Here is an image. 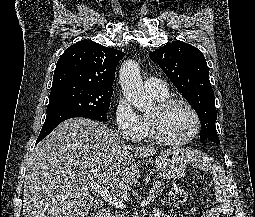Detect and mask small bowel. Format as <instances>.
<instances>
[{
	"mask_svg": "<svg viewBox=\"0 0 255 217\" xmlns=\"http://www.w3.org/2000/svg\"><path fill=\"white\" fill-rule=\"evenodd\" d=\"M216 212L211 210V212L209 213V215L207 217H215ZM151 217H171L169 215H166L162 210L160 209H155L152 214Z\"/></svg>",
	"mask_w": 255,
	"mask_h": 217,
	"instance_id": "obj_1",
	"label": "small bowel"
}]
</instances>
